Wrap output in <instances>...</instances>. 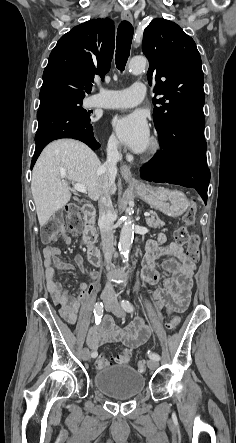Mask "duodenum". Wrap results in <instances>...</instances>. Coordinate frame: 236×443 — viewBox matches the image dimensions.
<instances>
[{
  "label": "duodenum",
  "mask_w": 236,
  "mask_h": 443,
  "mask_svg": "<svg viewBox=\"0 0 236 443\" xmlns=\"http://www.w3.org/2000/svg\"><path fill=\"white\" fill-rule=\"evenodd\" d=\"M83 216L85 218V231L83 234V243L87 246V257L90 264L94 266L100 265L99 250L94 246L96 240V232L93 221L96 217V209L92 205H86L83 208Z\"/></svg>",
  "instance_id": "410a0bca"
}]
</instances>
